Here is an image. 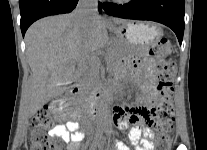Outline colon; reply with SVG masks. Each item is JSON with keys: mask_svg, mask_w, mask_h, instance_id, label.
<instances>
[{"mask_svg": "<svg viewBox=\"0 0 207 150\" xmlns=\"http://www.w3.org/2000/svg\"><path fill=\"white\" fill-rule=\"evenodd\" d=\"M171 52L168 39H160L149 54L156 58L159 65L156 70L157 90L160 96L159 103L149 112L147 124L157 133V142L160 150H167L174 122V77L176 65L166 60ZM54 127L52 112L48 107L38 110L30 119V150H62L57 138L49 131Z\"/></svg>", "mask_w": 207, "mask_h": 150, "instance_id": "obj_1", "label": "colon"}]
</instances>
